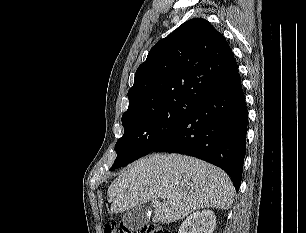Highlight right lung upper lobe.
I'll list each match as a JSON object with an SVG mask.
<instances>
[{"label":"right lung upper lobe","instance_id":"obj_1","mask_svg":"<svg viewBox=\"0 0 306 233\" xmlns=\"http://www.w3.org/2000/svg\"><path fill=\"white\" fill-rule=\"evenodd\" d=\"M239 79L225 37L205 19L194 18L152 47L128 91L127 112L164 99L199 104Z\"/></svg>","mask_w":306,"mask_h":233}]
</instances>
